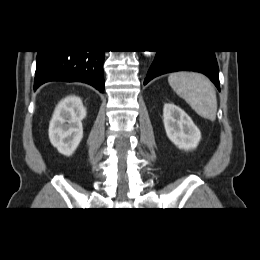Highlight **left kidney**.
<instances>
[{"label":"left kidney","instance_id":"obj_1","mask_svg":"<svg viewBox=\"0 0 260 260\" xmlns=\"http://www.w3.org/2000/svg\"><path fill=\"white\" fill-rule=\"evenodd\" d=\"M163 122L167 137L179 149H195L201 139V132L192 119L173 103L164 104Z\"/></svg>","mask_w":260,"mask_h":260}]
</instances>
